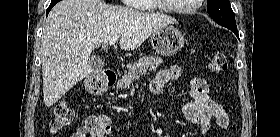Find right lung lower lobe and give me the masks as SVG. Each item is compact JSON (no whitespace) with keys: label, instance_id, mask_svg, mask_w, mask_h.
I'll return each mask as SVG.
<instances>
[{"label":"right lung lower lobe","instance_id":"98d812e1","mask_svg":"<svg viewBox=\"0 0 280 137\" xmlns=\"http://www.w3.org/2000/svg\"><path fill=\"white\" fill-rule=\"evenodd\" d=\"M60 0H52L47 11H46V15H48L49 11L52 9V7L57 3L59 2Z\"/></svg>","mask_w":280,"mask_h":137}]
</instances>
